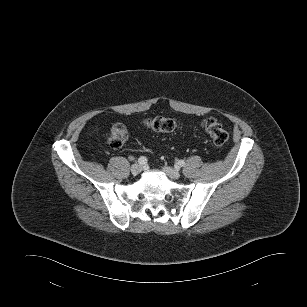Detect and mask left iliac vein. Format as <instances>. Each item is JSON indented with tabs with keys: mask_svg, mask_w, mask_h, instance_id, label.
Masks as SVG:
<instances>
[{
	"mask_svg": "<svg viewBox=\"0 0 307 307\" xmlns=\"http://www.w3.org/2000/svg\"><path fill=\"white\" fill-rule=\"evenodd\" d=\"M164 172L172 179H178L180 178V173L178 170L169 167V166H164L163 167Z\"/></svg>",
	"mask_w": 307,
	"mask_h": 307,
	"instance_id": "1",
	"label": "left iliac vein"
}]
</instances>
